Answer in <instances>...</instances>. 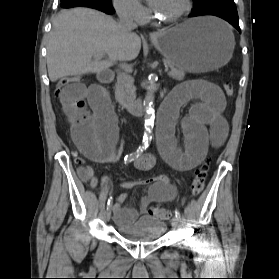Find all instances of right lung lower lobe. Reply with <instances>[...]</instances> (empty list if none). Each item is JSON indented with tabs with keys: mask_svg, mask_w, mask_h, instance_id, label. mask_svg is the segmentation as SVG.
<instances>
[{
	"mask_svg": "<svg viewBox=\"0 0 279 279\" xmlns=\"http://www.w3.org/2000/svg\"><path fill=\"white\" fill-rule=\"evenodd\" d=\"M61 6L63 8H71L77 6L90 7L103 11L107 14H112L115 12V10L112 7V4H105L101 2V0H61Z\"/></svg>",
	"mask_w": 279,
	"mask_h": 279,
	"instance_id": "98d812e1",
	"label": "right lung lower lobe"
}]
</instances>
